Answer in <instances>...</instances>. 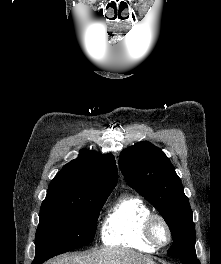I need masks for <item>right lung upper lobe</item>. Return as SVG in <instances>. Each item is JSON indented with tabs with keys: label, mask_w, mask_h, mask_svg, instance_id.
I'll return each instance as SVG.
<instances>
[{
	"label": "right lung upper lobe",
	"mask_w": 221,
	"mask_h": 264,
	"mask_svg": "<svg viewBox=\"0 0 221 264\" xmlns=\"http://www.w3.org/2000/svg\"><path fill=\"white\" fill-rule=\"evenodd\" d=\"M117 180L112 154L100 155L83 149L79 157L66 164L51 181L46 199L75 201L110 194Z\"/></svg>",
	"instance_id": "cb5924a9"
}]
</instances>
